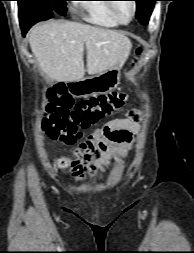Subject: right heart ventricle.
I'll return each mask as SVG.
<instances>
[{"instance_id":"right-heart-ventricle-1","label":"right heart ventricle","mask_w":194,"mask_h":253,"mask_svg":"<svg viewBox=\"0 0 194 253\" xmlns=\"http://www.w3.org/2000/svg\"><path fill=\"white\" fill-rule=\"evenodd\" d=\"M86 19L100 26L115 27L120 22L112 14L107 0H85L79 4Z\"/></svg>"}]
</instances>
